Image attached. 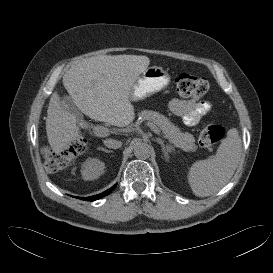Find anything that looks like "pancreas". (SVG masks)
<instances>
[{
  "instance_id": "pancreas-1",
  "label": "pancreas",
  "mask_w": 273,
  "mask_h": 273,
  "mask_svg": "<svg viewBox=\"0 0 273 273\" xmlns=\"http://www.w3.org/2000/svg\"><path fill=\"white\" fill-rule=\"evenodd\" d=\"M139 116L143 120L158 127L164 137L169 139V141L176 146L185 151H194L196 149L194 136L188 132H181L180 129L173 125L164 115L151 110H143L139 113Z\"/></svg>"
}]
</instances>
